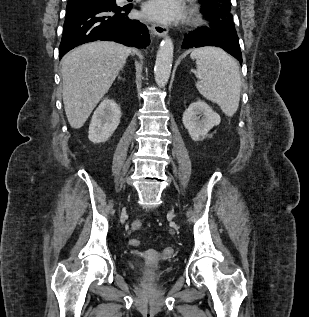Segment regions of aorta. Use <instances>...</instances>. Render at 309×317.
<instances>
[{
  "mask_svg": "<svg viewBox=\"0 0 309 317\" xmlns=\"http://www.w3.org/2000/svg\"><path fill=\"white\" fill-rule=\"evenodd\" d=\"M173 42L171 38L166 37L162 40L156 56L154 75L156 84L164 87L170 77L173 61Z\"/></svg>",
  "mask_w": 309,
  "mask_h": 317,
  "instance_id": "762f6f07",
  "label": "aorta"
}]
</instances>
